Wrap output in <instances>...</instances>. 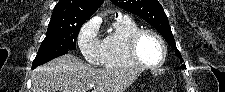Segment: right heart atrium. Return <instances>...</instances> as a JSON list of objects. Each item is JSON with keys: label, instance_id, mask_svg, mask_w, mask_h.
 <instances>
[{"label": "right heart atrium", "instance_id": "1", "mask_svg": "<svg viewBox=\"0 0 225 92\" xmlns=\"http://www.w3.org/2000/svg\"><path fill=\"white\" fill-rule=\"evenodd\" d=\"M77 43L83 58L92 65L102 63V39L96 19H90L81 27Z\"/></svg>", "mask_w": 225, "mask_h": 92}]
</instances>
